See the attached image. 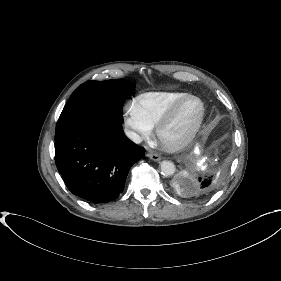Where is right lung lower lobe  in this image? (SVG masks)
<instances>
[{"label":"right lung lower lobe","mask_w":281,"mask_h":281,"mask_svg":"<svg viewBox=\"0 0 281 281\" xmlns=\"http://www.w3.org/2000/svg\"><path fill=\"white\" fill-rule=\"evenodd\" d=\"M144 151L125 137L121 124L74 125L55 136V162L65 185L92 203L116 199Z\"/></svg>","instance_id":"98d812e1"}]
</instances>
